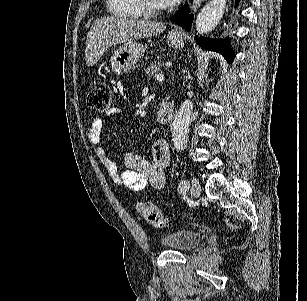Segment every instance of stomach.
Listing matches in <instances>:
<instances>
[{
    "label": "stomach",
    "instance_id": "obj_1",
    "mask_svg": "<svg viewBox=\"0 0 307 301\" xmlns=\"http://www.w3.org/2000/svg\"><path fill=\"white\" fill-rule=\"evenodd\" d=\"M167 44L168 46H173V48H182L185 44L184 34L169 32ZM147 48L146 42L144 44L143 42H138V40L123 42L119 48L114 50L109 60L112 72H115V74L129 72L131 68H134L135 64H138L139 60H142V56H144Z\"/></svg>",
    "mask_w": 307,
    "mask_h": 301
}]
</instances>
